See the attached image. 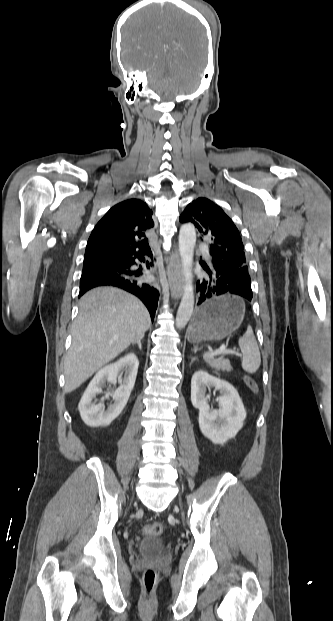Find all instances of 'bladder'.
Returning a JSON list of instances; mask_svg holds the SVG:
<instances>
[{"mask_svg": "<svg viewBox=\"0 0 333 621\" xmlns=\"http://www.w3.org/2000/svg\"><path fill=\"white\" fill-rule=\"evenodd\" d=\"M162 546V540L158 538H146L141 542L139 551L143 555H152L160 551Z\"/></svg>", "mask_w": 333, "mask_h": 621, "instance_id": "bladder-1", "label": "bladder"}]
</instances>
